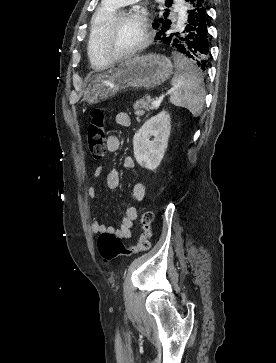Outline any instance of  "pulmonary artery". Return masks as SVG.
<instances>
[{
    "mask_svg": "<svg viewBox=\"0 0 276 363\" xmlns=\"http://www.w3.org/2000/svg\"><path fill=\"white\" fill-rule=\"evenodd\" d=\"M110 1H113L114 3H116L118 6H125V5H127V4H129V3H131L132 1H134V0H110ZM181 5V2L179 1L177 4H176V6H180ZM178 12H180L181 13V10H177Z\"/></svg>",
    "mask_w": 276,
    "mask_h": 363,
    "instance_id": "pulmonary-artery-1",
    "label": "pulmonary artery"
}]
</instances>
